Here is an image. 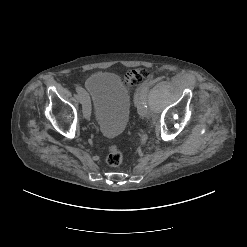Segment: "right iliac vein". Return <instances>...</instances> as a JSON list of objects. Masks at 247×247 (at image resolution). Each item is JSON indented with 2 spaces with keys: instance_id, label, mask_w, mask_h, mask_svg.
<instances>
[{
  "instance_id": "obj_1",
  "label": "right iliac vein",
  "mask_w": 247,
  "mask_h": 247,
  "mask_svg": "<svg viewBox=\"0 0 247 247\" xmlns=\"http://www.w3.org/2000/svg\"><path fill=\"white\" fill-rule=\"evenodd\" d=\"M79 102L82 104L84 117L86 119H89L91 115V104H90L89 97L87 96L86 99L82 101L79 100Z\"/></svg>"
}]
</instances>
